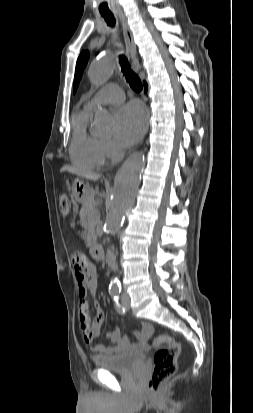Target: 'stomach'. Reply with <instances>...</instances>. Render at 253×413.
Segmentation results:
<instances>
[{"label": "stomach", "mask_w": 253, "mask_h": 413, "mask_svg": "<svg viewBox=\"0 0 253 413\" xmlns=\"http://www.w3.org/2000/svg\"><path fill=\"white\" fill-rule=\"evenodd\" d=\"M90 196V188L88 184H85L83 180L75 179L72 186V197L76 202L85 203Z\"/></svg>", "instance_id": "stomach-1"}]
</instances>
